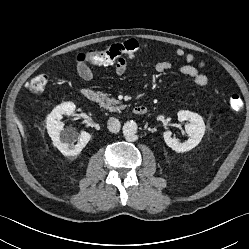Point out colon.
<instances>
[{"mask_svg":"<svg viewBox=\"0 0 249 249\" xmlns=\"http://www.w3.org/2000/svg\"><path fill=\"white\" fill-rule=\"evenodd\" d=\"M148 47L147 43H139L130 40L124 43H117L108 46L105 49L90 50L84 54L85 61L96 65H104L114 62L123 57H133L137 52ZM49 76L46 73L38 74L27 82V88L35 93H43L48 85ZM228 106L233 112H240L244 103L239 95H231L228 99Z\"/></svg>","mask_w":249,"mask_h":249,"instance_id":"colon-1","label":"colon"}]
</instances>
